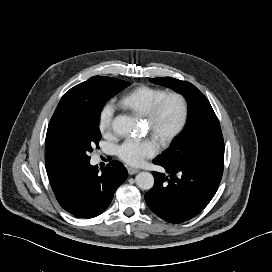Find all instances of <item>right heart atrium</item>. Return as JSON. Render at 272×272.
Segmentation results:
<instances>
[{
  "instance_id": "obj_1",
  "label": "right heart atrium",
  "mask_w": 272,
  "mask_h": 272,
  "mask_svg": "<svg viewBox=\"0 0 272 272\" xmlns=\"http://www.w3.org/2000/svg\"><path fill=\"white\" fill-rule=\"evenodd\" d=\"M114 111L115 107L112 102H107L101 108L98 116V129L102 135H107L111 132Z\"/></svg>"
}]
</instances>
